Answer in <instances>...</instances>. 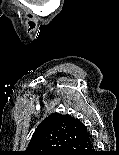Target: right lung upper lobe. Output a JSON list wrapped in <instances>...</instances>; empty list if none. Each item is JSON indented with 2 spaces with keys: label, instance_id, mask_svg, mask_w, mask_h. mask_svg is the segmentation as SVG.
<instances>
[{
  "label": "right lung upper lobe",
  "instance_id": "obj_1",
  "mask_svg": "<svg viewBox=\"0 0 119 155\" xmlns=\"http://www.w3.org/2000/svg\"><path fill=\"white\" fill-rule=\"evenodd\" d=\"M86 133L87 128L79 119L53 113L36 128L23 155H61Z\"/></svg>",
  "mask_w": 119,
  "mask_h": 155
}]
</instances>
